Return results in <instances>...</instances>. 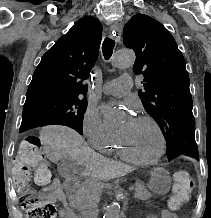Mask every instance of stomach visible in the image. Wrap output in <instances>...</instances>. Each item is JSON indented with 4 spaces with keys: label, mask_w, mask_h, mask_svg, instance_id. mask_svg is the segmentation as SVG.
<instances>
[{
    "label": "stomach",
    "mask_w": 211,
    "mask_h": 218,
    "mask_svg": "<svg viewBox=\"0 0 211 218\" xmlns=\"http://www.w3.org/2000/svg\"><path fill=\"white\" fill-rule=\"evenodd\" d=\"M171 186V177L169 172L164 168H156L153 170L149 182V189L157 194H166Z\"/></svg>",
    "instance_id": "1"
}]
</instances>
